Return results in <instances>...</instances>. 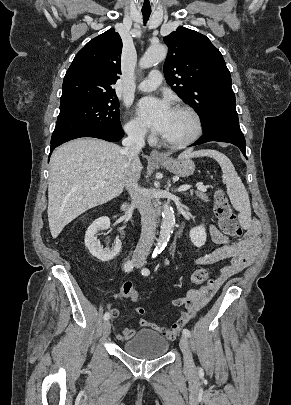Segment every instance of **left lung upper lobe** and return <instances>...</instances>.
<instances>
[{
	"label": "left lung upper lobe",
	"mask_w": 291,
	"mask_h": 405,
	"mask_svg": "<svg viewBox=\"0 0 291 405\" xmlns=\"http://www.w3.org/2000/svg\"><path fill=\"white\" fill-rule=\"evenodd\" d=\"M167 83L201 117L204 132L223 121L239 122L231 75L220 51L203 34L185 27L164 37Z\"/></svg>",
	"instance_id": "left-lung-upper-lobe-1"
}]
</instances>
